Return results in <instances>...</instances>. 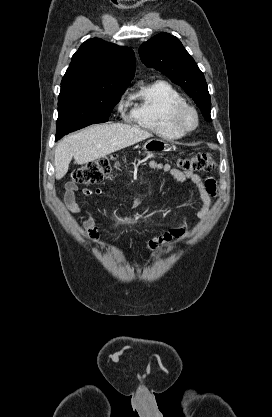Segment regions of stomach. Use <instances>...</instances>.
<instances>
[{
    "instance_id": "stomach-1",
    "label": "stomach",
    "mask_w": 272,
    "mask_h": 417,
    "mask_svg": "<svg viewBox=\"0 0 272 417\" xmlns=\"http://www.w3.org/2000/svg\"><path fill=\"white\" fill-rule=\"evenodd\" d=\"M143 149L146 154H152L154 152H164L169 149V145L160 139L154 138L148 140L144 146Z\"/></svg>"
}]
</instances>
